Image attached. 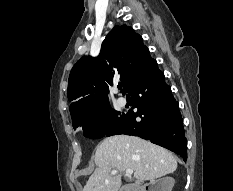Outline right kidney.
<instances>
[{
  "instance_id": "ca27d5eb",
  "label": "right kidney",
  "mask_w": 233,
  "mask_h": 191,
  "mask_svg": "<svg viewBox=\"0 0 233 191\" xmlns=\"http://www.w3.org/2000/svg\"><path fill=\"white\" fill-rule=\"evenodd\" d=\"M154 183H156V186L159 189V191H172L175 180H174V178L167 176V177H164V178L157 180ZM158 189H157V191H158Z\"/></svg>"
}]
</instances>
